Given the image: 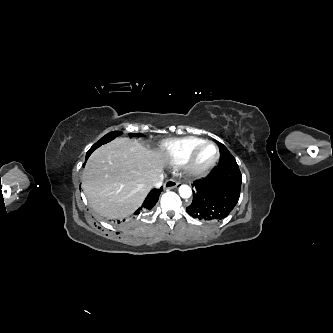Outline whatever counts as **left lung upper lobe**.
<instances>
[{"instance_id":"1","label":"left lung upper lobe","mask_w":333,"mask_h":333,"mask_svg":"<svg viewBox=\"0 0 333 333\" xmlns=\"http://www.w3.org/2000/svg\"><path fill=\"white\" fill-rule=\"evenodd\" d=\"M219 150H220V161L218 166L236 164L235 158L222 143H219Z\"/></svg>"}]
</instances>
